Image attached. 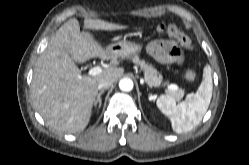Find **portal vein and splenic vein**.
<instances>
[{
	"label": "portal vein and splenic vein",
	"mask_w": 249,
	"mask_h": 165,
	"mask_svg": "<svg viewBox=\"0 0 249 165\" xmlns=\"http://www.w3.org/2000/svg\"><path fill=\"white\" fill-rule=\"evenodd\" d=\"M102 68L99 66L93 67L89 70L88 75L89 76H96L99 75L100 73H102ZM168 90H177L178 86L175 84H170L167 86Z\"/></svg>",
	"instance_id": "obj_1"
}]
</instances>
